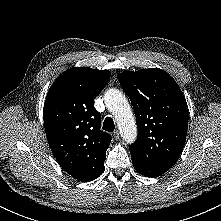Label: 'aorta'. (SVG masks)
<instances>
[{"instance_id":"aorta-1","label":"aorta","mask_w":221,"mask_h":221,"mask_svg":"<svg viewBox=\"0 0 221 221\" xmlns=\"http://www.w3.org/2000/svg\"><path fill=\"white\" fill-rule=\"evenodd\" d=\"M104 100L106 107L117 122L122 138L127 143H133L137 137V127L125 95L113 88L106 91Z\"/></svg>"}]
</instances>
